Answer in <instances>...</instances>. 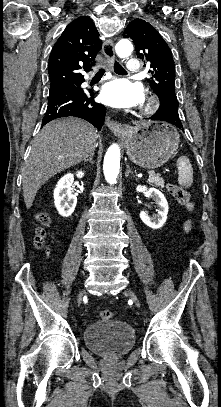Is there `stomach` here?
<instances>
[{
    "instance_id": "1",
    "label": "stomach",
    "mask_w": 221,
    "mask_h": 407,
    "mask_svg": "<svg viewBox=\"0 0 221 407\" xmlns=\"http://www.w3.org/2000/svg\"><path fill=\"white\" fill-rule=\"evenodd\" d=\"M124 140L132 162L143 168L155 169L176 153L180 135L169 123L144 121L130 127Z\"/></svg>"
}]
</instances>
